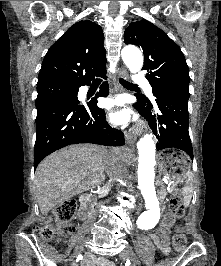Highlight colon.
I'll use <instances>...</instances> for the list:
<instances>
[{"label": "colon", "instance_id": "obj_1", "mask_svg": "<svg viewBox=\"0 0 221 266\" xmlns=\"http://www.w3.org/2000/svg\"><path fill=\"white\" fill-rule=\"evenodd\" d=\"M76 202L67 200L56 206L53 210V216L56 226L44 225L36 226L34 232L45 241H52L57 236H67L75 231L73 223ZM185 212V204L180 193H175L169 200V212L162 218L160 227L157 231V237L160 242H167L170 229L180 220ZM186 237L182 233L173 236V246L175 250L182 251L186 247Z\"/></svg>", "mask_w": 221, "mask_h": 266}]
</instances>
